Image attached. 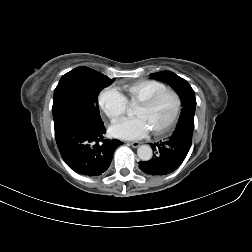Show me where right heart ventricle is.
I'll use <instances>...</instances> for the list:
<instances>
[{
  "label": "right heart ventricle",
  "mask_w": 252,
  "mask_h": 252,
  "mask_svg": "<svg viewBox=\"0 0 252 252\" xmlns=\"http://www.w3.org/2000/svg\"><path fill=\"white\" fill-rule=\"evenodd\" d=\"M165 88H167L165 84L155 80L136 81L122 87L128 98L134 102H141L153 93Z\"/></svg>",
  "instance_id": "1"
}]
</instances>
